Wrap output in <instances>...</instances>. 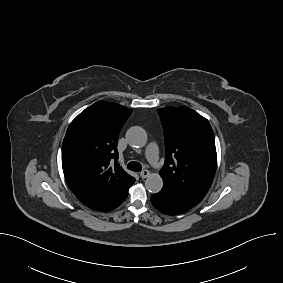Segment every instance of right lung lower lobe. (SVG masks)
Segmentation results:
<instances>
[{
	"instance_id": "obj_1",
	"label": "right lung lower lobe",
	"mask_w": 283,
	"mask_h": 283,
	"mask_svg": "<svg viewBox=\"0 0 283 283\" xmlns=\"http://www.w3.org/2000/svg\"><path fill=\"white\" fill-rule=\"evenodd\" d=\"M127 196H128V192H127L125 195H123V197H122L117 203H115L113 206H111L109 209H107V210H105V211H103V212H109V211L114 210V209L117 208L121 203H123V202L125 201V199L127 198Z\"/></svg>"
}]
</instances>
